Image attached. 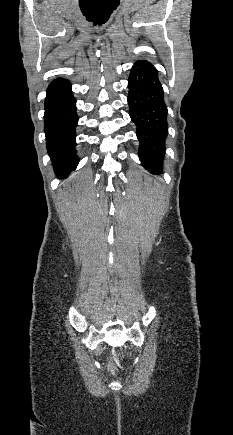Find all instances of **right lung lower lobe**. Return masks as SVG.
I'll return each mask as SVG.
<instances>
[{"label":"right lung lower lobe","mask_w":233,"mask_h":435,"mask_svg":"<svg viewBox=\"0 0 233 435\" xmlns=\"http://www.w3.org/2000/svg\"><path fill=\"white\" fill-rule=\"evenodd\" d=\"M77 123L76 99L71 84L68 80L56 79L47 89L44 130L48 153L59 178L67 177L79 162L74 149Z\"/></svg>","instance_id":"98d812e1"}]
</instances>
